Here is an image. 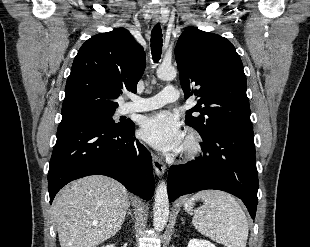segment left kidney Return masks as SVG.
<instances>
[{"instance_id": "5707ae66", "label": "left kidney", "mask_w": 310, "mask_h": 247, "mask_svg": "<svg viewBox=\"0 0 310 247\" xmlns=\"http://www.w3.org/2000/svg\"><path fill=\"white\" fill-rule=\"evenodd\" d=\"M187 247H216V246L207 240L192 239L189 241Z\"/></svg>"}]
</instances>
